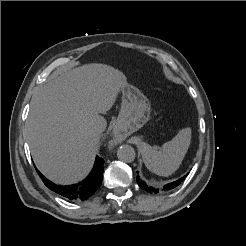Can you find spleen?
I'll return each instance as SVG.
<instances>
[{
    "mask_svg": "<svg viewBox=\"0 0 246 246\" xmlns=\"http://www.w3.org/2000/svg\"><path fill=\"white\" fill-rule=\"evenodd\" d=\"M191 143V129L184 128L171 140L164 143L160 150L145 142L140 151L145 166L153 173L167 177L181 165Z\"/></svg>",
    "mask_w": 246,
    "mask_h": 246,
    "instance_id": "spleen-1",
    "label": "spleen"
}]
</instances>
